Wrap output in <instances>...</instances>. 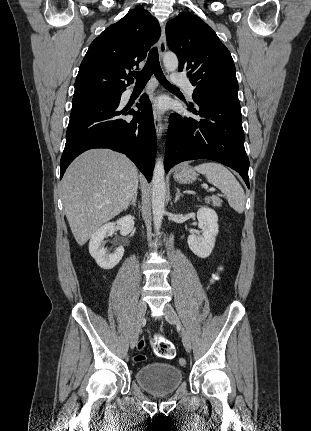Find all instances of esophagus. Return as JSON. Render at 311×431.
<instances>
[{"mask_svg":"<svg viewBox=\"0 0 311 431\" xmlns=\"http://www.w3.org/2000/svg\"><path fill=\"white\" fill-rule=\"evenodd\" d=\"M166 49H167V44H166V36H165V26H163L161 31V37L159 40V47H158L160 58L163 57L164 53L166 52ZM153 115H154V125L156 129V135L158 139H161L165 129L162 123V117H161V114L156 109H154Z\"/></svg>","mask_w":311,"mask_h":431,"instance_id":"34e87169","label":"esophagus"}]
</instances>
